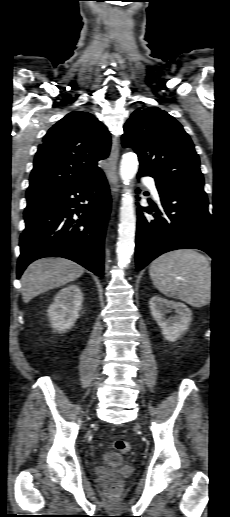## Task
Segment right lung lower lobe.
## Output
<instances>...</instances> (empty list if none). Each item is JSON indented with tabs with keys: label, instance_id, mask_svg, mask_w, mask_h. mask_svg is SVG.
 <instances>
[{
	"label": "right lung lower lobe",
	"instance_id": "1",
	"mask_svg": "<svg viewBox=\"0 0 230 517\" xmlns=\"http://www.w3.org/2000/svg\"><path fill=\"white\" fill-rule=\"evenodd\" d=\"M85 201L88 203L83 204ZM110 206L103 172L69 188L27 197L17 277L42 257H64L102 277Z\"/></svg>",
	"mask_w": 230,
	"mask_h": 517
}]
</instances>
